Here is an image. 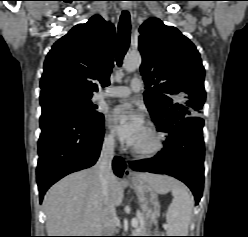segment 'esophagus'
Masks as SVG:
<instances>
[{"label":"esophagus","instance_id":"obj_1","mask_svg":"<svg viewBox=\"0 0 248 237\" xmlns=\"http://www.w3.org/2000/svg\"><path fill=\"white\" fill-rule=\"evenodd\" d=\"M124 10H129V8H124ZM124 176L125 178H128V179L133 177V171L130 169L129 166L125 169Z\"/></svg>","mask_w":248,"mask_h":237}]
</instances>
